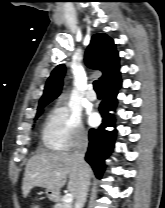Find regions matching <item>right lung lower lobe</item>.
I'll return each instance as SVG.
<instances>
[{
	"mask_svg": "<svg viewBox=\"0 0 165 208\" xmlns=\"http://www.w3.org/2000/svg\"><path fill=\"white\" fill-rule=\"evenodd\" d=\"M120 87V75L103 85L104 99L99 106L102 124L89 131V147L85 160L92 166L98 178H101L105 170V159L111 154L116 137L115 130L108 131L105 128L114 126V115L109 111H114L117 106L116 96Z\"/></svg>",
	"mask_w": 165,
	"mask_h": 208,
	"instance_id": "1",
	"label": "right lung lower lobe"
}]
</instances>
